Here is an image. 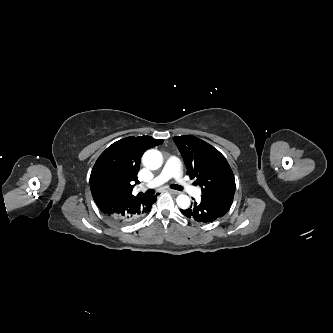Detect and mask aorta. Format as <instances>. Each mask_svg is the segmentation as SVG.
<instances>
[{
  "label": "aorta",
  "mask_w": 333,
  "mask_h": 333,
  "mask_svg": "<svg viewBox=\"0 0 333 333\" xmlns=\"http://www.w3.org/2000/svg\"><path fill=\"white\" fill-rule=\"evenodd\" d=\"M142 160L147 168L155 170L162 164V155L157 150H149L144 153ZM176 201L181 209H187L190 206V199L187 195H179Z\"/></svg>",
  "instance_id": "aorta-1"
}]
</instances>
